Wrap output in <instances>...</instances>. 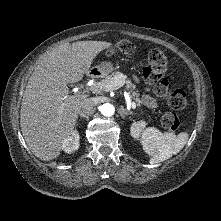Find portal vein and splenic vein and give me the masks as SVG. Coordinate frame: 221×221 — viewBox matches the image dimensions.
<instances>
[{
  "mask_svg": "<svg viewBox=\"0 0 221 221\" xmlns=\"http://www.w3.org/2000/svg\"><path fill=\"white\" fill-rule=\"evenodd\" d=\"M121 86H122V85L119 83V81H118V80H115V81L113 82V84H110V85L106 86V90H108V91H109V90H116V89H119ZM93 90H94V91H97L96 88H94ZM124 96H125V98H126V100H127V103H128V105H129V107L135 109V108H136V104H135V102H131L129 93H128V92H125Z\"/></svg>",
  "mask_w": 221,
  "mask_h": 221,
  "instance_id": "1",
  "label": "portal vein and splenic vein"
}]
</instances>
